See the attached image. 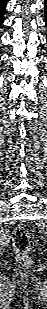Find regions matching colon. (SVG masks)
Returning a JSON list of instances; mask_svg holds the SVG:
<instances>
[{
  "mask_svg": "<svg viewBox=\"0 0 47 309\" xmlns=\"http://www.w3.org/2000/svg\"><path fill=\"white\" fill-rule=\"evenodd\" d=\"M14 251L17 260L27 265L30 262V252L33 247V239L29 230L24 226H18L12 235Z\"/></svg>",
  "mask_w": 47,
  "mask_h": 309,
  "instance_id": "1",
  "label": "colon"
}]
</instances>
